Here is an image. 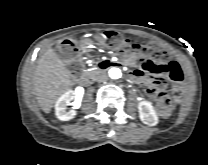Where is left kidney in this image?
Returning <instances> with one entry per match:
<instances>
[{"label":"left kidney","instance_id":"1","mask_svg":"<svg viewBox=\"0 0 208 165\" xmlns=\"http://www.w3.org/2000/svg\"><path fill=\"white\" fill-rule=\"evenodd\" d=\"M139 117L140 120L148 125L155 126L158 124V116L157 113L150 102L141 101L138 104Z\"/></svg>","mask_w":208,"mask_h":165}]
</instances>
